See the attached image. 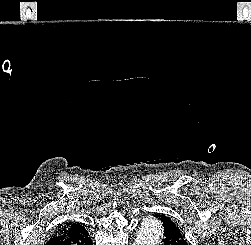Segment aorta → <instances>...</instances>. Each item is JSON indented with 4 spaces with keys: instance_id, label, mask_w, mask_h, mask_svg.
I'll use <instances>...</instances> for the list:
<instances>
[{
    "instance_id": "obj_1",
    "label": "aorta",
    "mask_w": 251,
    "mask_h": 245,
    "mask_svg": "<svg viewBox=\"0 0 251 245\" xmlns=\"http://www.w3.org/2000/svg\"><path fill=\"white\" fill-rule=\"evenodd\" d=\"M162 234L161 223L152 217L145 218L133 245H158Z\"/></svg>"
}]
</instances>
